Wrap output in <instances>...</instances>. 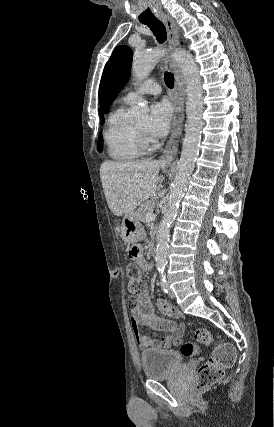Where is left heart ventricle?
Returning <instances> with one entry per match:
<instances>
[{"mask_svg": "<svg viewBox=\"0 0 274 427\" xmlns=\"http://www.w3.org/2000/svg\"><path fill=\"white\" fill-rule=\"evenodd\" d=\"M137 126H138V128L146 135V136H148V137H150L149 136V134H148V132H147V126H148V119H145V120H143V121H141V122H139L138 124H136ZM151 138V137H150Z\"/></svg>", "mask_w": 274, "mask_h": 427, "instance_id": "1", "label": "left heart ventricle"}]
</instances>
